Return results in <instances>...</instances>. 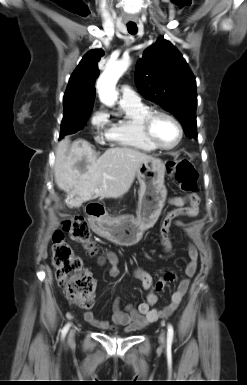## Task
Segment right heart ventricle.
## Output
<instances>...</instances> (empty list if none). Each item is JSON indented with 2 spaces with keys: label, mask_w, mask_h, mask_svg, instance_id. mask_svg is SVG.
I'll list each match as a JSON object with an SVG mask.
<instances>
[{
  "label": "right heart ventricle",
  "mask_w": 247,
  "mask_h": 385,
  "mask_svg": "<svg viewBox=\"0 0 247 385\" xmlns=\"http://www.w3.org/2000/svg\"><path fill=\"white\" fill-rule=\"evenodd\" d=\"M122 117L113 122L106 137L113 144L143 152H153L156 148L147 140L141 128L142 119L151 109L139 102L137 104L120 103Z\"/></svg>",
  "instance_id": "obj_1"
}]
</instances>
